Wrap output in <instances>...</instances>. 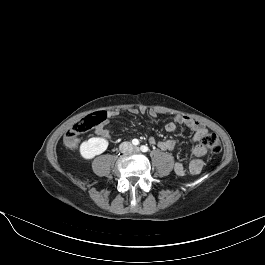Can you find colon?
<instances>
[{
	"label": "colon",
	"mask_w": 265,
	"mask_h": 265,
	"mask_svg": "<svg viewBox=\"0 0 265 265\" xmlns=\"http://www.w3.org/2000/svg\"><path fill=\"white\" fill-rule=\"evenodd\" d=\"M105 118L106 113L103 111H96L85 116L67 131L64 144L69 148H75L80 142V136L100 125ZM202 143L213 154L219 153L222 149L221 141L215 133H207L202 138Z\"/></svg>",
	"instance_id": "colon-1"
}]
</instances>
